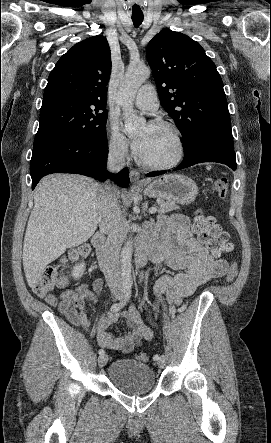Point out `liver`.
I'll return each mask as SVG.
<instances>
[{"label":"liver","instance_id":"6515ba94","mask_svg":"<svg viewBox=\"0 0 271 443\" xmlns=\"http://www.w3.org/2000/svg\"><path fill=\"white\" fill-rule=\"evenodd\" d=\"M100 190V184L77 174H55L39 182L23 243L30 287H35L48 263L96 231L102 212Z\"/></svg>","mask_w":271,"mask_h":443}]
</instances>
